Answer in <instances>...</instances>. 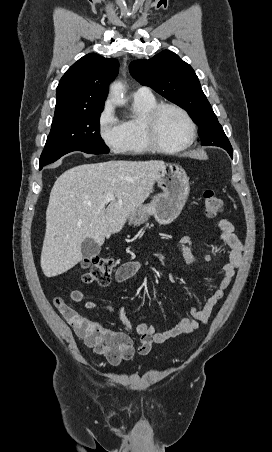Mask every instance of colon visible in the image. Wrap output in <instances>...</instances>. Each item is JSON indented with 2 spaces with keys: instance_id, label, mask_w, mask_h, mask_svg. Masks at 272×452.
I'll list each match as a JSON object with an SVG mask.
<instances>
[{
  "instance_id": "colon-1",
  "label": "colon",
  "mask_w": 272,
  "mask_h": 452,
  "mask_svg": "<svg viewBox=\"0 0 272 452\" xmlns=\"http://www.w3.org/2000/svg\"><path fill=\"white\" fill-rule=\"evenodd\" d=\"M203 206L208 217L218 216L224 208L223 201L211 190L204 192ZM84 266L88 268V271L83 275L84 282L96 283L101 286H106L110 283L114 270V261L111 257L93 256L85 261ZM53 302L61 313L70 312L71 307L62 298L56 297ZM97 347L109 363L118 364L128 359V352L112 336H103L99 340Z\"/></svg>"
}]
</instances>
